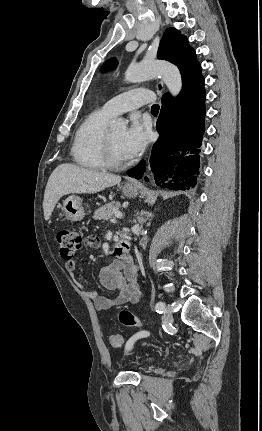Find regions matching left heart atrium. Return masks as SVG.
Instances as JSON below:
<instances>
[{
  "instance_id": "obj_1",
  "label": "left heart atrium",
  "mask_w": 262,
  "mask_h": 431,
  "mask_svg": "<svg viewBox=\"0 0 262 431\" xmlns=\"http://www.w3.org/2000/svg\"><path fill=\"white\" fill-rule=\"evenodd\" d=\"M149 141L148 128L133 119L120 142V150L127 159L139 156Z\"/></svg>"
}]
</instances>
